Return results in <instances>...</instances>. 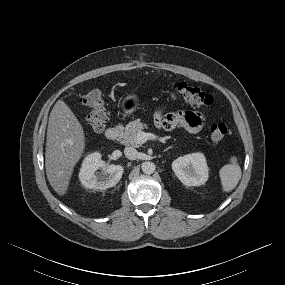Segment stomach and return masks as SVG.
Segmentation results:
<instances>
[{
	"mask_svg": "<svg viewBox=\"0 0 285 285\" xmlns=\"http://www.w3.org/2000/svg\"><path fill=\"white\" fill-rule=\"evenodd\" d=\"M138 98L134 94H128L122 101V106L126 114H132L138 108Z\"/></svg>",
	"mask_w": 285,
	"mask_h": 285,
	"instance_id": "1",
	"label": "stomach"
}]
</instances>
